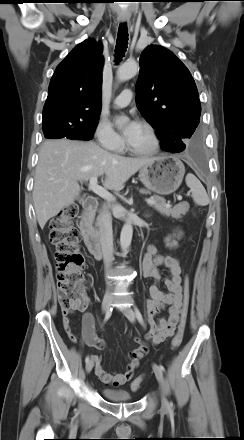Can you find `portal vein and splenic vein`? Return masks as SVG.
Here are the masks:
<instances>
[{"mask_svg":"<svg viewBox=\"0 0 244 440\" xmlns=\"http://www.w3.org/2000/svg\"><path fill=\"white\" fill-rule=\"evenodd\" d=\"M97 179H98L97 177H92L90 179L89 189L107 201L115 200V197L110 192H108L106 189L98 185ZM177 199L182 200V196L178 195ZM146 202L149 205L156 203L153 199H146ZM166 206L170 207L168 204H166Z\"/></svg>","mask_w":244,"mask_h":440,"instance_id":"obj_1","label":"portal vein and splenic vein"}]
</instances>
